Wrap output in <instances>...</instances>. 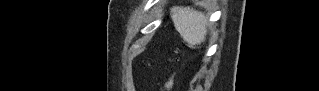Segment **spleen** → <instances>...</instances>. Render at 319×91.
<instances>
[{
  "label": "spleen",
  "mask_w": 319,
  "mask_h": 91,
  "mask_svg": "<svg viewBox=\"0 0 319 91\" xmlns=\"http://www.w3.org/2000/svg\"><path fill=\"white\" fill-rule=\"evenodd\" d=\"M171 19L180 36L188 47L196 48L205 42L207 35V17L190 7H174Z\"/></svg>",
  "instance_id": "3e777b00"
}]
</instances>
